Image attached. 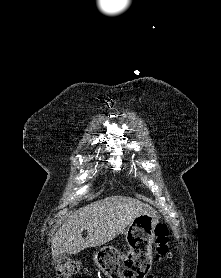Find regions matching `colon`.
<instances>
[{
    "label": "colon",
    "mask_w": 221,
    "mask_h": 278,
    "mask_svg": "<svg viewBox=\"0 0 221 278\" xmlns=\"http://www.w3.org/2000/svg\"><path fill=\"white\" fill-rule=\"evenodd\" d=\"M170 235L166 224L159 223L155 228L154 247L157 256L161 260H165L169 254ZM80 267L74 260H67L57 267V278H72L75 276ZM84 278V277H81Z\"/></svg>",
    "instance_id": "colon-1"
}]
</instances>
